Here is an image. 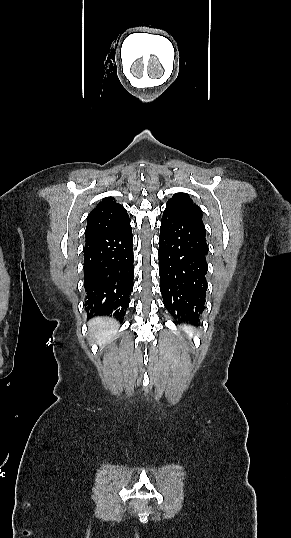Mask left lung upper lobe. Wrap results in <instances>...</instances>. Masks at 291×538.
<instances>
[{
  "instance_id": "1",
  "label": "left lung upper lobe",
  "mask_w": 291,
  "mask_h": 538,
  "mask_svg": "<svg viewBox=\"0 0 291 538\" xmlns=\"http://www.w3.org/2000/svg\"><path fill=\"white\" fill-rule=\"evenodd\" d=\"M165 210H171L182 216L202 221V210L193 203L187 193H176L168 200ZM177 313V312H175Z\"/></svg>"
}]
</instances>
